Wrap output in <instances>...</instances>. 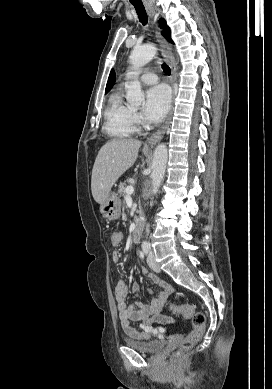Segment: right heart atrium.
<instances>
[{
    "label": "right heart atrium",
    "mask_w": 272,
    "mask_h": 389,
    "mask_svg": "<svg viewBox=\"0 0 272 389\" xmlns=\"http://www.w3.org/2000/svg\"><path fill=\"white\" fill-rule=\"evenodd\" d=\"M135 121L136 123H142L143 121V118H142V115L140 113H135Z\"/></svg>",
    "instance_id": "d8ad5b80"
}]
</instances>
